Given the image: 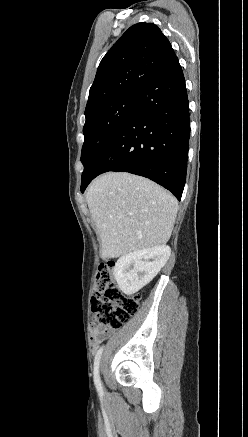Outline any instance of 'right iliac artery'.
Returning a JSON list of instances; mask_svg holds the SVG:
<instances>
[{"mask_svg":"<svg viewBox=\"0 0 248 437\" xmlns=\"http://www.w3.org/2000/svg\"><path fill=\"white\" fill-rule=\"evenodd\" d=\"M103 352V347H101L97 354L95 355V359H94V369H93V373H94V382L97 388V391L102 394L103 393V389H102V385H101V381H100V377H99V363H100V358Z\"/></svg>","mask_w":248,"mask_h":437,"instance_id":"right-iliac-artery-1","label":"right iliac artery"}]
</instances>
